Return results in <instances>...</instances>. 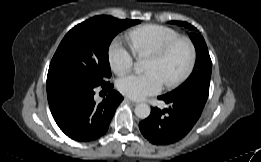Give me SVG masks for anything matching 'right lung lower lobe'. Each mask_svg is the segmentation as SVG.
<instances>
[{
	"label": "right lung lower lobe",
	"mask_w": 261,
	"mask_h": 162,
	"mask_svg": "<svg viewBox=\"0 0 261 162\" xmlns=\"http://www.w3.org/2000/svg\"><path fill=\"white\" fill-rule=\"evenodd\" d=\"M109 94L97 104L94 88L78 82L63 83L47 92L49 107L60 129L77 141H92L104 135L123 96L105 82Z\"/></svg>",
	"instance_id": "right-lung-lower-lobe-1"
}]
</instances>
